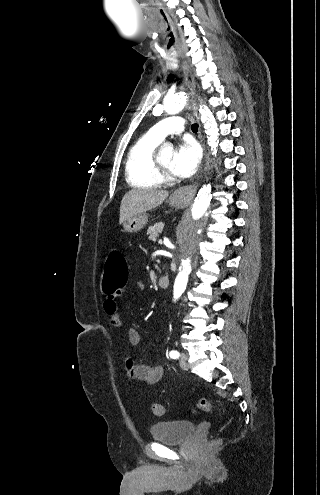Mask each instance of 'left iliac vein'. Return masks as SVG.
<instances>
[{"label": "left iliac vein", "mask_w": 320, "mask_h": 495, "mask_svg": "<svg viewBox=\"0 0 320 495\" xmlns=\"http://www.w3.org/2000/svg\"><path fill=\"white\" fill-rule=\"evenodd\" d=\"M179 364L183 370L187 371L189 369L188 355L186 353L182 352L180 354Z\"/></svg>", "instance_id": "left-iliac-vein-1"}]
</instances>
